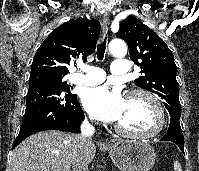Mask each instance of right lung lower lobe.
<instances>
[{
	"label": "right lung lower lobe",
	"mask_w": 199,
	"mask_h": 171,
	"mask_svg": "<svg viewBox=\"0 0 199 171\" xmlns=\"http://www.w3.org/2000/svg\"><path fill=\"white\" fill-rule=\"evenodd\" d=\"M83 120L77 95L66 93L53 82L29 83L24 119L12 149L28 136L44 130L80 133Z\"/></svg>",
	"instance_id": "98d812e1"
}]
</instances>
